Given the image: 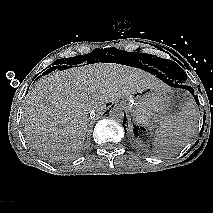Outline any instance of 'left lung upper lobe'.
I'll list each match as a JSON object with an SVG mask.
<instances>
[{
  "mask_svg": "<svg viewBox=\"0 0 213 213\" xmlns=\"http://www.w3.org/2000/svg\"><path fill=\"white\" fill-rule=\"evenodd\" d=\"M153 59L157 61L155 66L168 74L174 81L182 84L186 80V73L177 63L159 57H154Z\"/></svg>",
  "mask_w": 213,
  "mask_h": 213,
  "instance_id": "1",
  "label": "left lung upper lobe"
}]
</instances>
